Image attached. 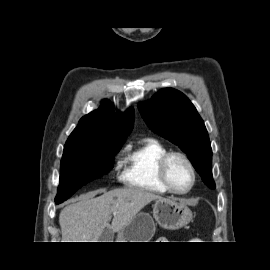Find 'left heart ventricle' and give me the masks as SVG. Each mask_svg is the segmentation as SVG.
<instances>
[{
    "instance_id": "1",
    "label": "left heart ventricle",
    "mask_w": 270,
    "mask_h": 270,
    "mask_svg": "<svg viewBox=\"0 0 270 270\" xmlns=\"http://www.w3.org/2000/svg\"><path fill=\"white\" fill-rule=\"evenodd\" d=\"M168 173L172 185L179 190H185L191 184L192 175L190 169L180 158L176 157L170 161Z\"/></svg>"
}]
</instances>
